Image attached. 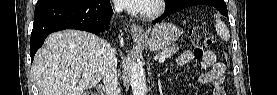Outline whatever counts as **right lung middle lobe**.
Segmentation results:
<instances>
[{
	"instance_id": "1",
	"label": "right lung middle lobe",
	"mask_w": 277,
	"mask_h": 95,
	"mask_svg": "<svg viewBox=\"0 0 277 95\" xmlns=\"http://www.w3.org/2000/svg\"><path fill=\"white\" fill-rule=\"evenodd\" d=\"M47 1H51V0H38L37 3H42V2H47Z\"/></svg>"
}]
</instances>
